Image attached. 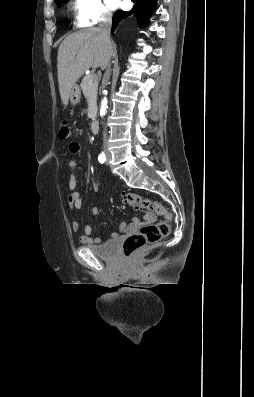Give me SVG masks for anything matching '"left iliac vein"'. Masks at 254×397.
<instances>
[{"label":"left iliac vein","instance_id":"4c4485c4","mask_svg":"<svg viewBox=\"0 0 254 397\" xmlns=\"http://www.w3.org/2000/svg\"><path fill=\"white\" fill-rule=\"evenodd\" d=\"M110 158H111L110 153H107V161H106L107 165L109 164Z\"/></svg>","mask_w":254,"mask_h":397}]
</instances>
